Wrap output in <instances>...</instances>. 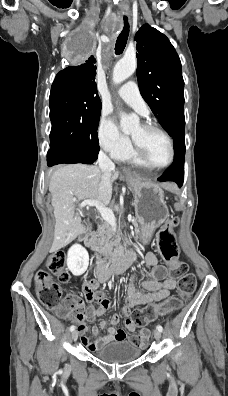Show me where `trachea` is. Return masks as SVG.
<instances>
[{"instance_id": "trachea-1", "label": "trachea", "mask_w": 228, "mask_h": 396, "mask_svg": "<svg viewBox=\"0 0 228 396\" xmlns=\"http://www.w3.org/2000/svg\"><path fill=\"white\" fill-rule=\"evenodd\" d=\"M124 27L119 36L117 37L116 44H115V54L120 55L123 53L128 36H129V23H128V18L124 16Z\"/></svg>"}]
</instances>
